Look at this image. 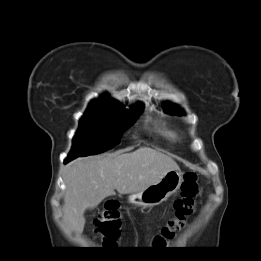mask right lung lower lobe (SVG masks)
Returning a JSON list of instances; mask_svg holds the SVG:
<instances>
[{"label": "right lung lower lobe", "instance_id": "1", "mask_svg": "<svg viewBox=\"0 0 261 261\" xmlns=\"http://www.w3.org/2000/svg\"><path fill=\"white\" fill-rule=\"evenodd\" d=\"M73 158L71 157H68L66 160H65V163H67L68 161L72 160Z\"/></svg>", "mask_w": 261, "mask_h": 261}]
</instances>
